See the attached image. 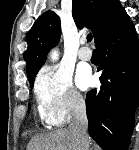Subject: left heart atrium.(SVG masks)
Wrapping results in <instances>:
<instances>
[{"mask_svg":"<svg viewBox=\"0 0 139 150\" xmlns=\"http://www.w3.org/2000/svg\"><path fill=\"white\" fill-rule=\"evenodd\" d=\"M92 83L91 76L86 72H79L77 75V84L81 89H86Z\"/></svg>","mask_w":139,"mask_h":150,"instance_id":"39dd6f15","label":"left heart atrium"}]
</instances>
